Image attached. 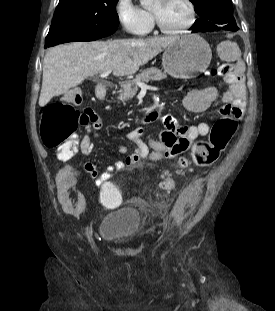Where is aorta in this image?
I'll list each match as a JSON object with an SVG mask.
<instances>
[{
    "label": "aorta",
    "mask_w": 275,
    "mask_h": 311,
    "mask_svg": "<svg viewBox=\"0 0 275 311\" xmlns=\"http://www.w3.org/2000/svg\"><path fill=\"white\" fill-rule=\"evenodd\" d=\"M141 4L144 5V6H148V5H151L154 0H140Z\"/></svg>",
    "instance_id": "1"
}]
</instances>
